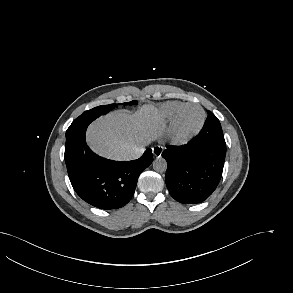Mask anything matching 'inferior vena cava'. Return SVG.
<instances>
[{
	"label": "inferior vena cava",
	"instance_id": "1",
	"mask_svg": "<svg viewBox=\"0 0 293 293\" xmlns=\"http://www.w3.org/2000/svg\"><path fill=\"white\" fill-rule=\"evenodd\" d=\"M143 152H144V148L143 147L136 148V149H133V150H129L125 154V160L138 159L139 157L142 156Z\"/></svg>",
	"mask_w": 293,
	"mask_h": 293
}]
</instances>
